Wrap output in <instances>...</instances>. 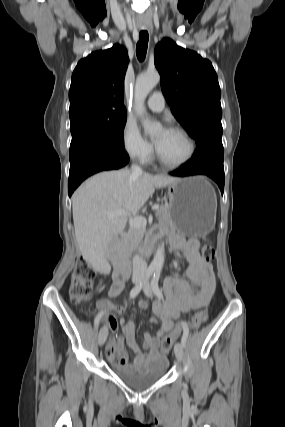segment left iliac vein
<instances>
[{"mask_svg": "<svg viewBox=\"0 0 285 427\" xmlns=\"http://www.w3.org/2000/svg\"><path fill=\"white\" fill-rule=\"evenodd\" d=\"M144 293L146 294V296L150 297L152 295L151 289L149 284H146L144 287ZM174 352H175V356L176 358L181 361L183 358V346L180 343H176L175 347H174Z\"/></svg>", "mask_w": 285, "mask_h": 427, "instance_id": "1", "label": "left iliac vein"}]
</instances>
